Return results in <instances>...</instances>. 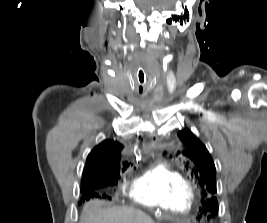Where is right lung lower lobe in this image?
<instances>
[{"mask_svg": "<svg viewBox=\"0 0 267 223\" xmlns=\"http://www.w3.org/2000/svg\"><path fill=\"white\" fill-rule=\"evenodd\" d=\"M105 183L106 181L101 178L82 179L81 191L83 193L94 192V189L106 187Z\"/></svg>", "mask_w": 267, "mask_h": 223, "instance_id": "right-lung-lower-lobe-1", "label": "right lung lower lobe"}]
</instances>
